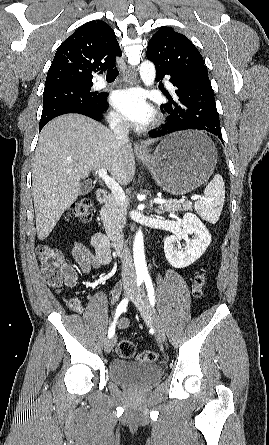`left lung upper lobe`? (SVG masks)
<instances>
[{
	"label": "left lung upper lobe",
	"instance_id": "5c2ea615",
	"mask_svg": "<svg viewBox=\"0 0 269 445\" xmlns=\"http://www.w3.org/2000/svg\"><path fill=\"white\" fill-rule=\"evenodd\" d=\"M146 56L156 69L168 74L208 76L200 52L186 36L171 27H162L152 36Z\"/></svg>",
	"mask_w": 269,
	"mask_h": 445
}]
</instances>
